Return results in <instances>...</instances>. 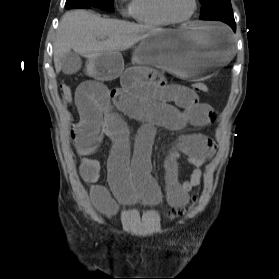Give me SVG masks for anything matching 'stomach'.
I'll list each match as a JSON object with an SVG mask.
<instances>
[{"label":"stomach","mask_w":279,"mask_h":279,"mask_svg":"<svg viewBox=\"0 0 279 279\" xmlns=\"http://www.w3.org/2000/svg\"><path fill=\"white\" fill-rule=\"evenodd\" d=\"M227 24L188 23L178 29H166L142 40L133 54L137 64H149L161 72L173 73L181 82H207L226 69L238 50H233ZM120 54H88L80 70L87 82H113L123 71Z\"/></svg>","instance_id":"stomach-1"}]
</instances>
